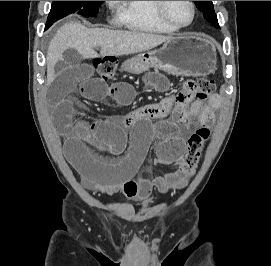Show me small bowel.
Masks as SVG:
<instances>
[{
    "label": "small bowel",
    "mask_w": 271,
    "mask_h": 266,
    "mask_svg": "<svg viewBox=\"0 0 271 266\" xmlns=\"http://www.w3.org/2000/svg\"><path fill=\"white\" fill-rule=\"evenodd\" d=\"M144 77L158 91L168 88L166 77L157 71H149ZM48 78L51 81L48 101L55 125L65 139V157L79 172L85 187L108 195L120 193L126 200L141 201L147 200L154 189L168 192L187 185V178L177 171H168L154 178L136 175L153 140L157 141L158 164L180 163L185 151L180 131H190L194 120L200 126L212 125L220 105L217 95L210 96L207 101L169 95L125 116L89 123L74 120L73 92L80 91L92 101L109 99L125 106L134 98L132 85L127 82L108 84L94 77L89 64L81 62H58L48 70ZM128 137L130 147L115 161L102 160L93 152L99 150L121 155L127 148Z\"/></svg>",
    "instance_id": "obj_1"
}]
</instances>
